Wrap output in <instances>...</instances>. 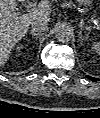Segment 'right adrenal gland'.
<instances>
[{
  "mask_svg": "<svg viewBox=\"0 0 100 118\" xmlns=\"http://www.w3.org/2000/svg\"><path fill=\"white\" fill-rule=\"evenodd\" d=\"M29 34H32L33 37H35L36 39H38L42 34L41 33H36L35 31L31 30L29 31Z\"/></svg>",
  "mask_w": 100,
  "mask_h": 118,
  "instance_id": "right-adrenal-gland-1",
  "label": "right adrenal gland"
}]
</instances>
